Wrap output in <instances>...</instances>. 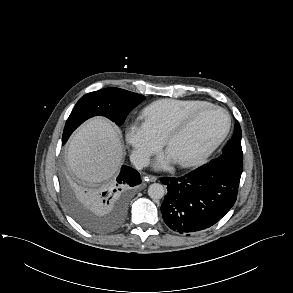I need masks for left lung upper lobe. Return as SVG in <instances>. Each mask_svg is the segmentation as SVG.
<instances>
[{"instance_id": "left-lung-upper-lobe-1", "label": "left lung upper lobe", "mask_w": 293, "mask_h": 293, "mask_svg": "<svg viewBox=\"0 0 293 293\" xmlns=\"http://www.w3.org/2000/svg\"><path fill=\"white\" fill-rule=\"evenodd\" d=\"M242 132L239 123L236 121L232 138L227 142L222 150V155L210 163L223 165L236 173L242 174L243 152L241 147Z\"/></svg>"}]
</instances>
